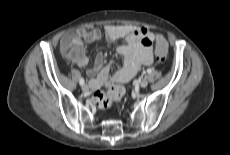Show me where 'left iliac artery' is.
I'll list each match as a JSON object with an SVG mask.
<instances>
[{"instance_id":"left-iliac-artery-1","label":"left iliac artery","mask_w":230,"mask_h":155,"mask_svg":"<svg viewBox=\"0 0 230 155\" xmlns=\"http://www.w3.org/2000/svg\"><path fill=\"white\" fill-rule=\"evenodd\" d=\"M150 72H151V69H148V70H147V73H150Z\"/></svg>"}]
</instances>
